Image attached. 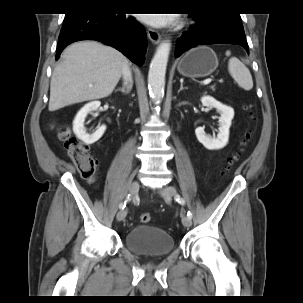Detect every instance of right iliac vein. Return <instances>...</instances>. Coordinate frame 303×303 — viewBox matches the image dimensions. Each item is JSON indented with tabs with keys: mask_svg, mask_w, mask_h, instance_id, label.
<instances>
[{
	"mask_svg": "<svg viewBox=\"0 0 303 303\" xmlns=\"http://www.w3.org/2000/svg\"><path fill=\"white\" fill-rule=\"evenodd\" d=\"M139 183L138 181H133L130 186H129V193L131 196H136V194L139 191ZM127 215V210H121L118 214H117V221H122Z\"/></svg>",
	"mask_w": 303,
	"mask_h": 303,
	"instance_id": "1",
	"label": "right iliac vein"
}]
</instances>
